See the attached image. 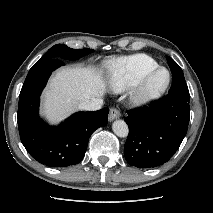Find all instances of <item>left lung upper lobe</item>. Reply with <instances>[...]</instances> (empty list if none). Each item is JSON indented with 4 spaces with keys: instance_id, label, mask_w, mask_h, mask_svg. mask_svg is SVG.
<instances>
[{
    "instance_id": "left-lung-upper-lobe-1",
    "label": "left lung upper lobe",
    "mask_w": 213,
    "mask_h": 213,
    "mask_svg": "<svg viewBox=\"0 0 213 213\" xmlns=\"http://www.w3.org/2000/svg\"><path fill=\"white\" fill-rule=\"evenodd\" d=\"M167 62L173 76V82L169 90V94L189 97V90L186 85L182 69L176 64V62L171 57H167Z\"/></svg>"
}]
</instances>
